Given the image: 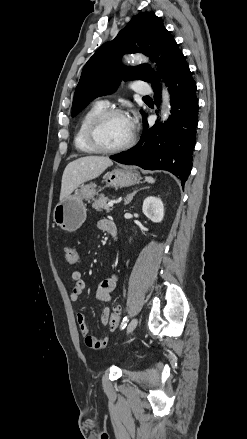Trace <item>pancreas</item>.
Returning a JSON list of instances; mask_svg holds the SVG:
<instances>
[{
  "mask_svg": "<svg viewBox=\"0 0 247 439\" xmlns=\"http://www.w3.org/2000/svg\"><path fill=\"white\" fill-rule=\"evenodd\" d=\"M108 200H109L108 197L101 194L98 197V199L95 200L94 203L92 204V208H94L95 210L100 211V212H102L104 210L106 212H110L111 209L107 205Z\"/></svg>",
  "mask_w": 247,
  "mask_h": 439,
  "instance_id": "obj_1",
  "label": "pancreas"
}]
</instances>
